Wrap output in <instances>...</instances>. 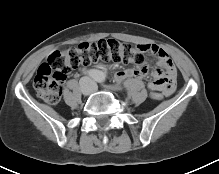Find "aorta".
<instances>
[{
	"instance_id": "obj_1",
	"label": "aorta",
	"mask_w": 219,
	"mask_h": 174,
	"mask_svg": "<svg viewBox=\"0 0 219 174\" xmlns=\"http://www.w3.org/2000/svg\"><path fill=\"white\" fill-rule=\"evenodd\" d=\"M105 79V74L101 72L100 77L98 78L99 81H103Z\"/></svg>"
}]
</instances>
